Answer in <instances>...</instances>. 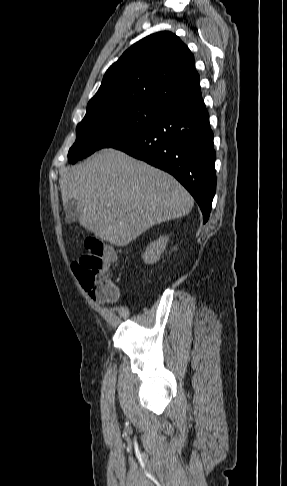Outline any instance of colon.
Returning <instances> with one entry per match:
<instances>
[{
	"label": "colon",
	"instance_id": "1",
	"mask_svg": "<svg viewBox=\"0 0 287 486\" xmlns=\"http://www.w3.org/2000/svg\"><path fill=\"white\" fill-rule=\"evenodd\" d=\"M85 247L86 253L73 264L78 281L92 299L115 302L119 291L109 274V268L116 260L114 250L95 236L86 239Z\"/></svg>",
	"mask_w": 287,
	"mask_h": 486
}]
</instances>
